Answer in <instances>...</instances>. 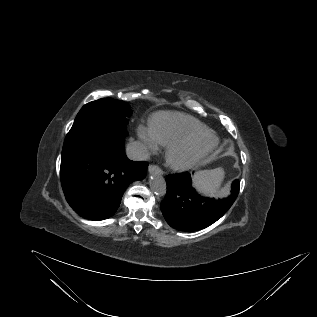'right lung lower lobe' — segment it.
Returning <instances> with one entry per match:
<instances>
[{
	"instance_id": "right-lung-lower-lobe-1",
	"label": "right lung lower lobe",
	"mask_w": 317,
	"mask_h": 317,
	"mask_svg": "<svg viewBox=\"0 0 317 317\" xmlns=\"http://www.w3.org/2000/svg\"><path fill=\"white\" fill-rule=\"evenodd\" d=\"M124 134L101 133L77 152L63 156L60 177L67 202L90 220L111 217L127 186L146 176V162L129 160Z\"/></svg>"
}]
</instances>
